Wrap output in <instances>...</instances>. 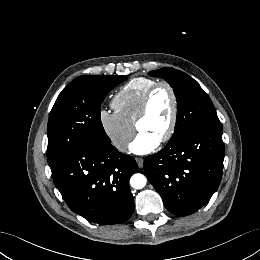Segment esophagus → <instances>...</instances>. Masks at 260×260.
<instances>
[{
  "label": "esophagus",
  "instance_id": "34e87169",
  "mask_svg": "<svg viewBox=\"0 0 260 260\" xmlns=\"http://www.w3.org/2000/svg\"><path fill=\"white\" fill-rule=\"evenodd\" d=\"M136 162H137V165H138L139 168H142V167H143V163H144L143 158L137 157V158H136Z\"/></svg>",
  "mask_w": 260,
  "mask_h": 260
}]
</instances>
